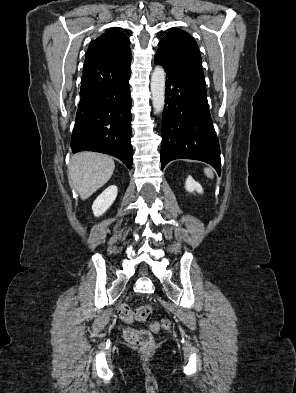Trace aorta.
Listing matches in <instances>:
<instances>
[{"label": "aorta", "instance_id": "762f6f07", "mask_svg": "<svg viewBox=\"0 0 296 393\" xmlns=\"http://www.w3.org/2000/svg\"><path fill=\"white\" fill-rule=\"evenodd\" d=\"M165 71L161 66H156L151 76L152 104L155 113H160L165 105Z\"/></svg>", "mask_w": 296, "mask_h": 393}]
</instances>
